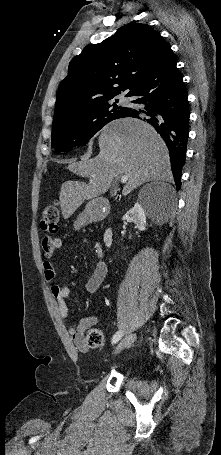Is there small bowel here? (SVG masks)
<instances>
[{
	"label": "small bowel",
	"instance_id": "small-bowel-1",
	"mask_svg": "<svg viewBox=\"0 0 221 455\" xmlns=\"http://www.w3.org/2000/svg\"><path fill=\"white\" fill-rule=\"evenodd\" d=\"M84 242L88 240L84 239ZM63 245V240L61 238H51L46 237L42 242L43 252L45 259L42 262V269L44 279L50 283V290L57 302L58 312L63 319L68 318L69 310L66 304V299L70 294V286L67 284H55L53 283L55 279V269L51 262V257L54 253ZM94 250L97 254L99 261L95 268L93 275L90 277L86 284V288L90 293H94L107 275V266L104 261V251L100 243L94 242ZM94 323V320L91 318L82 319L77 326L72 325L69 327L68 331L71 335L74 344L81 352L87 351V346L84 338V331L89 328Z\"/></svg>",
	"mask_w": 221,
	"mask_h": 455
}]
</instances>
